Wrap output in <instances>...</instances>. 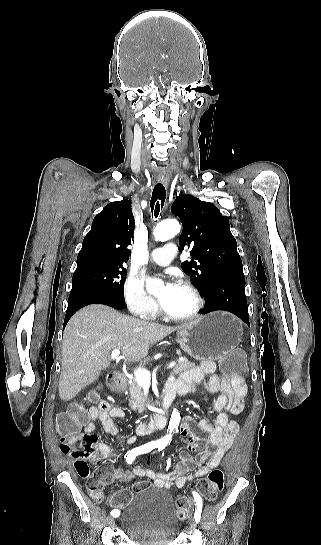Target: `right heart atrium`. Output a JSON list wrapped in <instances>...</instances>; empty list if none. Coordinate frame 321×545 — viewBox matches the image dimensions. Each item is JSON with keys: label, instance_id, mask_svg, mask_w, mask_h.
<instances>
[{"label": "right heart atrium", "instance_id": "d8ad5b80", "mask_svg": "<svg viewBox=\"0 0 321 545\" xmlns=\"http://www.w3.org/2000/svg\"><path fill=\"white\" fill-rule=\"evenodd\" d=\"M122 296L127 309L142 320H152L158 315V305L149 299L143 288L142 281L129 276L123 284Z\"/></svg>", "mask_w": 321, "mask_h": 545}]
</instances>
